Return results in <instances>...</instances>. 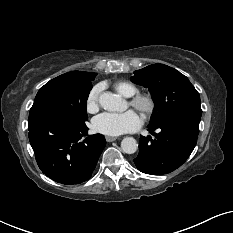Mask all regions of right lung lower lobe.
<instances>
[{
	"instance_id": "1",
	"label": "right lung lower lobe",
	"mask_w": 233,
	"mask_h": 233,
	"mask_svg": "<svg viewBox=\"0 0 233 233\" xmlns=\"http://www.w3.org/2000/svg\"><path fill=\"white\" fill-rule=\"evenodd\" d=\"M28 130L41 171L66 185L88 180L106 145L103 135L86 137L85 122L60 115L45 114L29 120Z\"/></svg>"
}]
</instances>
